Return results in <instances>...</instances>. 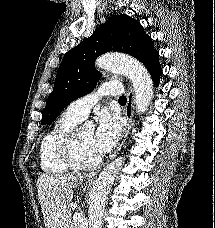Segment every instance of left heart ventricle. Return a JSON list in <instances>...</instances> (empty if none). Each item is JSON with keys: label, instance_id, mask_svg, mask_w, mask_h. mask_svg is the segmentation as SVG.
<instances>
[{"label": "left heart ventricle", "instance_id": "b2bd125f", "mask_svg": "<svg viewBox=\"0 0 215 228\" xmlns=\"http://www.w3.org/2000/svg\"><path fill=\"white\" fill-rule=\"evenodd\" d=\"M93 134V129L83 126L77 138L76 154L84 163H90L100 158L93 145Z\"/></svg>", "mask_w": 215, "mask_h": 228}]
</instances>
